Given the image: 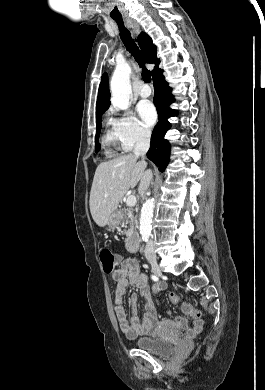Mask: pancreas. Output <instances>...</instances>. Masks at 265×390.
<instances>
[{"label":"pancreas","instance_id":"cf45deb5","mask_svg":"<svg viewBox=\"0 0 265 390\" xmlns=\"http://www.w3.org/2000/svg\"><path fill=\"white\" fill-rule=\"evenodd\" d=\"M133 209L131 207L123 210V221L125 224H129V229L122 232L123 235L127 236L126 242H128V237H130L137 228V217L133 214Z\"/></svg>","mask_w":265,"mask_h":390}]
</instances>
